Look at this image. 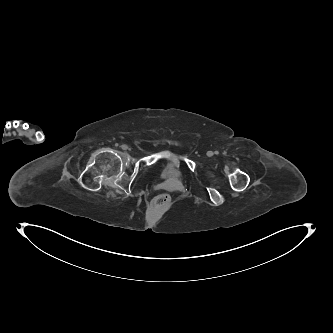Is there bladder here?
I'll return each mask as SVG.
<instances>
[{
    "instance_id": "bladder-1",
    "label": "bladder",
    "mask_w": 333,
    "mask_h": 333,
    "mask_svg": "<svg viewBox=\"0 0 333 333\" xmlns=\"http://www.w3.org/2000/svg\"><path fill=\"white\" fill-rule=\"evenodd\" d=\"M162 180L168 184H175L184 177L181 164L176 158L165 159L159 169Z\"/></svg>"
}]
</instances>
